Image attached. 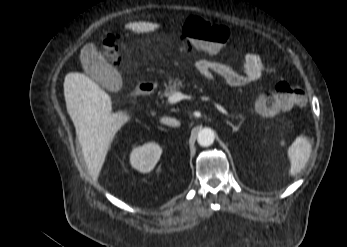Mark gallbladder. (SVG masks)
I'll use <instances>...</instances> for the list:
<instances>
[{"mask_svg":"<svg viewBox=\"0 0 347 247\" xmlns=\"http://www.w3.org/2000/svg\"><path fill=\"white\" fill-rule=\"evenodd\" d=\"M80 61L85 73L109 92L118 93L123 87V80L116 68L109 64L96 50L88 45L80 54Z\"/></svg>","mask_w":347,"mask_h":247,"instance_id":"1","label":"gallbladder"}]
</instances>
